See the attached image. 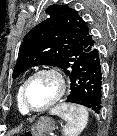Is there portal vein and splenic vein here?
<instances>
[{"label":"portal vein and splenic vein","mask_w":117,"mask_h":136,"mask_svg":"<svg viewBox=\"0 0 117 136\" xmlns=\"http://www.w3.org/2000/svg\"><path fill=\"white\" fill-rule=\"evenodd\" d=\"M50 136H55L54 133H51Z\"/></svg>","instance_id":"portal-vein-and-splenic-vein-1"}]
</instances>
